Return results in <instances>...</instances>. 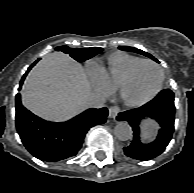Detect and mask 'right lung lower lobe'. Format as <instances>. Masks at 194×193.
<instances>
[{
    "instance_id": "98d812e1",
    "label": "right lung lower lobe",
    "mask_w": 194,
    "mask_h": 193,
    "mask_svg": "<svg viewBox=\"0 0 194 193\" xmlns=\"http://www.w3.org/2000/svg\"><path fill=\"white\" fill-rule=\"evenodd\" d=\"M36 64V63H35ZM32 64L22 77V83L35 65ZM108 110L89 109L62 123L45 121L27 110L16 95V128L26 149L42 161L54 162L74 156L82 147L87 131L106 122Z\"/></svg>"
}]
</instances>
